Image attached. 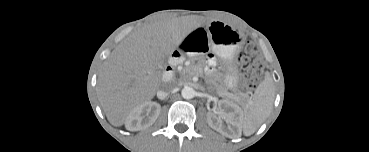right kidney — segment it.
Instances as JSON below:
<instances>
[{"label":"right kidney","instance_id":"right-kidney-1","mask_svg":"<svg viewBox=\"0 0 369 152\" xmlns=\"http://www.w3.org/2000/svg\"><path fill=\"white\" fill-rule=\"evenodd\" d=\"M161 106L156 102H145L134 108L126 118L129 131H139L150 127L158 118Z\"/></svg>","mask_w":369,"mask_h":152}]
</instances>
